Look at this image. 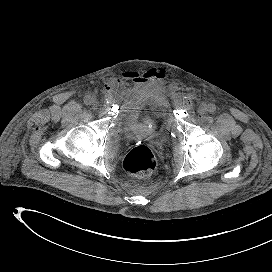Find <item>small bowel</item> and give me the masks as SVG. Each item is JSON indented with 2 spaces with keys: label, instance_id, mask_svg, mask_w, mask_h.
<instances>
[{
  "label": "small bowel",
  "instance_id": "1",
  "mask_svg": "<svg viewBox=\"0 0 272 272\" xmlns=\"http://www.w3.org/2000/svg\"><path fill=\"white\" fill-rule=\"evenodd\" d=\"M144 75L139 74V73H133V72H127L123 74L122 78H114L112 81H110V83L107 85L108 88L107 89H113L114 87L119 86L123 80H132L134 82H143L145 81L144 79Z\"/></svg>",
  "mask_w": 272,
  "mask_h": 272
}]
</instances>
